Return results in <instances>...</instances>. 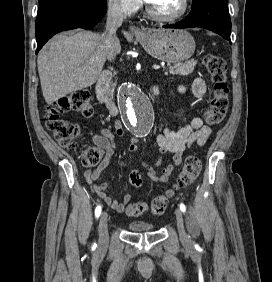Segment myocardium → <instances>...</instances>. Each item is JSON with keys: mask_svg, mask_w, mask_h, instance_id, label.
I'll return each mask as SVG.
<instances>
[{"mask_svg": "<svg viewBox=\"0 0 272 282\" xmlns=\"http://www.w3.org/2000/svg\"><path fill=\"white\" fill-rule=\"evenodd\" d=\"M182 9L180 12L174 14V15H164L161 13H158L156 11H154L151 6L148 4L146 5V11L148 13V15H150L152 18L157 19V20H161V21H166V22H173V21H177L179 19H182L188 12L189 10V0H182Z\"/></svg>", "mask_w": 272, "mask_h": 282, "instance_id": "myocardium-1", "label": "myocardium"}]
</instances>
